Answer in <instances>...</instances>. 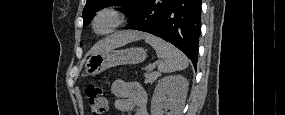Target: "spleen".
I'll list each match as a JSON object with an SVG mask.
<instances>
[{
  "mask_svg": "<svg viewBox=\"0 0 285 115\" xmlns=\"http://www.w3.org/2000/svg\"><path fill=\"white\" fill-rule=\"evenodd\" d=\"M145 42L151 45L157 56L163 60L158 66L160 72L171 73L188 67L187 57L169 42L152 35L147 36Z\"/></svg>",
  "mask_w": 285,
  "mask_h": 115,
  "instance_id": "obj_1",
  "label": "spleen"
}]
</instances>
